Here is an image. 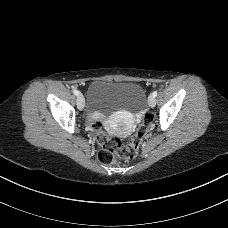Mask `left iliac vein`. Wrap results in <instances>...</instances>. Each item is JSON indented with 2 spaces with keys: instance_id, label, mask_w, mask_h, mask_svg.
<instances>
[{
  "instance_id": "4c4485c4",
  "label": "left iliac vein",
  "mask_w": 228,
  "mask_h": 228,
  "mask_svg": "<svg viewBox=\"0 0 228 228\" xmlns=\"http://www.w3.org/2000/svg\"><path fill=\"white\" fill-rule=\"evenodd\" d=\"M148 105L150 107H152V108L155 107V105H156V99H155V97L153 95H150L148 97Z\"/></svg>"
}]
</instances>
